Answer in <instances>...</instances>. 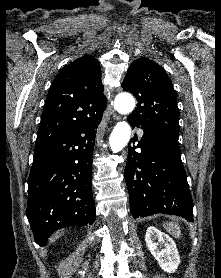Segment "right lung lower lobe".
Here are the masks:
<instances>
[{"label":"right lung lower lobe","instance_id":"right-lung-lower-lobe-1","mask_svg":"<svg viewBox=\"0 0 221 278\" xmlns=\"http://www.w3.org/2000/svg\"><path fill=\"white\" fill-rule=\"evenodd\" d=\"M100 121H84L35 148L26 215L40 246L54 231L91 225L96 218L91 166Z\"/></svg>","mask_w":221,"mask_h":278}]
</instances>
